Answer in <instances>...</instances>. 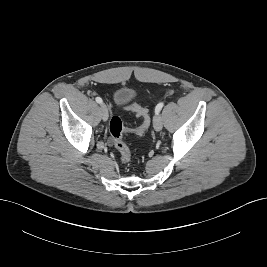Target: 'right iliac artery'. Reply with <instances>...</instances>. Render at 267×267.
I'll return each instance as SVG.
<instances>
[{
  "mask_svg": "<svg viewBox=\"0 0 267 267\" xmlns=\"http://www.w3.org/2000/svg\"><path fill=\"white\" fill-rule=\"evenodd\" d=\"M95 100H96V102L99 103V104H101V103L103 102L102 99H101L100 97H96Z\"/></svg>",
  "mask_w": 267,
  "mask_h": 267,
  "instance_id": "82829eb1",
  "label": "right iliac artery"
}]
</instances>
